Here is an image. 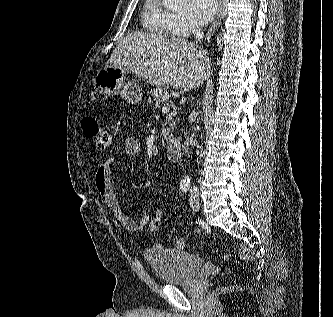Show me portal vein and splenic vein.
Listing matches in <instances>:
<instances>
[{"label": "portal vein and splenic vein", "mask_w": 333, "mask_h": 317, "mask_svg": "<svg viewBox=\"0 0 333 317\" xmlns=\"http://www.w3.org/2000/svg\"><path fill=\"white\" fill-rule=\"evenodd\" d=\"M162 112L163 113H169L170 112V107H168V106L162 107Z\"/></svg>", "instance_id": "1"}]
</instances>
